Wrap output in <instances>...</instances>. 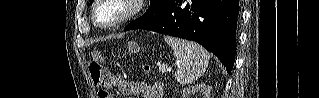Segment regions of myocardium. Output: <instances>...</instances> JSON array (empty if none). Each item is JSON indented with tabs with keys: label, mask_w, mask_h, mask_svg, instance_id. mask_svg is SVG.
<instances>
[{
	"label": "myocardium",
	"mask_w": 319,
	"mask_h": 98,
	"mask_svg": "<svg viewBox=\"0 0 319 98\" xmlns=\"http://www.w3.org/2000/svg\"><path fill=\"white\" fill-rule=\"evenodd\" d=\"M106 1L96 0L91 11V17H92L93 23L101 29H113L118 26H121L124 23L129 22L130 20H132L138 14L141 13V11L144 8V3L146 2L144 0H116L127 5L128 7L127 12L124 15H122L120 18H118L117 20L111 23L101 24L97 19V11H98V8Z\"/></svg>",
	"instance_id": "myocardium-1"
}]
</instances>
